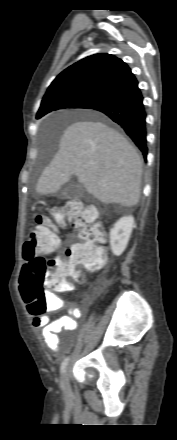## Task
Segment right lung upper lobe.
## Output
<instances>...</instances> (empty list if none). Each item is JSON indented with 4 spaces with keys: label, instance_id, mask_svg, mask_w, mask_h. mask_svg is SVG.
I'll return each instance as SVG.
<instances>
[{
    "label": "right lung upper lobe",
    "instance_id": "right-lung-upper-lobe-1",
    "mask_svg": "<svg viewBox=\"0 0 177 440\" xmlns=\"http://www.w3.org/2000/svg\"><path fill=\"white\" fill-rule=\"evenodd\" d=\"M136 80L130 68L114 55L99 53L86 57L61 72L49 86L43 100L67 91L102 97Z\"/></svg>",
    "mask_w": 177,
    "mask_h": 440
}]
</instances>
